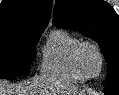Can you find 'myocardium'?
<instances>
[{
	"label": "myocardium",
	"instance_id": "obj_1",
	"mask_svg": "<svg viewBox=\"0 0 119 95\" xmlns=\"http://www.w3.org/2000/svg\"><path fill=\"white\" fill-rule=\"evenodd\" d=\"M87 47L94 49L97 55L99 56L100 69L96 74H90L89 72H87V70L84 68L82 64L81 54H82V51ZM73 63L76 69L79 71V73L82 74L85 78H97L98 76L101 75V73L104 70L105 58H104L103 52L101 51L100 47L96 43L83 40V41H80L74 49Z\"/></svg>",
	"mask_w": 119,
	"mask_h": 95
}]
</instances>
